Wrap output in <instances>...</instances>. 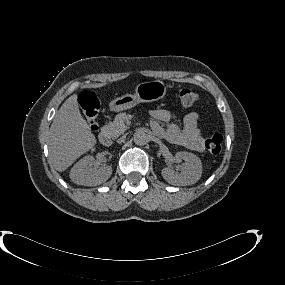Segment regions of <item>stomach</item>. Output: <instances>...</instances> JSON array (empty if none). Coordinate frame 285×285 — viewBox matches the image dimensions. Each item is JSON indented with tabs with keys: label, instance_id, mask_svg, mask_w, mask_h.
<instances>
[{
	"label": "stomach",
	"instance_id": "obj_1",
	"mask_svg": "<svg viewBox=\"0 0 285 285\" xmlns=\"http://www.w3.org/2000/svg\"><path fill=\"white\" fill-rule=\"evenodd\" d=\"M166 85L160 81L142 82L137 85L134 94H125L109 103V109L120 112L137 106L140 103H148L165 97Z\"/></svg>",
	"mask_w": 285,
	"mask_h": 285
}]
</instances>
